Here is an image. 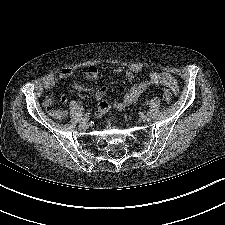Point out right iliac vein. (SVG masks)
Wrapping results in <instances>:
<instances>
[{"label":"right iliac vein","mask_w":225,"mask_h":225,"mask_svg":"<svg viewBox=\"0 0 225 225\" xmlns=\"http://www.w3.org/2000/svg\"><path fill=\"white\" fill-rule=\"evenodd\" d=\"M79 127L81 129H87L88 128V123L87 121H81L80 124H79Z\"/></svg>","instance_id":"obj_1"}]
</instances>
